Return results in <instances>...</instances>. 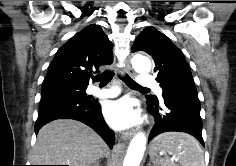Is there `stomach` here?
Returning a JSON list of instances; mask_svg holds the SVG:
<instances>
[{
  "label": "stomach",
  "mask_w": 236,
  "mask_h": 166,
  "mask_svg": "<svg viewBox=\"0 0 236 166\" xmlns=\"http://www.w3.org/2000/svg\"><path fill=\"white\" fill-rule=\"evenodd\" d=\"M149 154H150V158H151V161L153 162L154 166H159L158 161H157V155L155 154L152 143H151V146H150Z\"/></svg>",
  "instance_id": "obj_1"
}]
</instances>
